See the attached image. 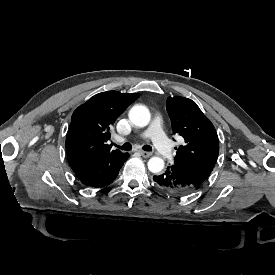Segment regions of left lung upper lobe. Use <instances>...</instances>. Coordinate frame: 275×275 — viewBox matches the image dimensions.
<instances>
[{"instance_id": "1", "label": "left lung upper lobe", "mask_w": 275, "mask_h": 275, "mask_svg": "<svg viewBox=\"0 0 275 275\" xmlns=\"http://www.w3.org/2000/svg\"><path fill=\"white\" fill-rule=\"evenodd\" d=\"M167 111L174 134L184 138L173 166L198 188L210 175L219 153V140L211 121L198 105L184 97H168Z\"/></svg>"}]
</instances>
